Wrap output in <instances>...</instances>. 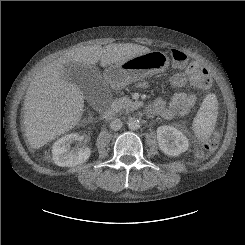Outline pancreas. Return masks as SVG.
<instances>
[{
	"label": "pancreas",
	"instance_id": "pancreas-1",
	"mask_svg": "<svg viewBox=\"0 0 245 245\" xmlns=\"http://www.w3.org/2000/svg\"><path fill=\"white\" fill-rule=\"evenodd\" d=\"M139 107L138 102L131 101L128 97H121L114 102V108L117 111L122 109L126 110L127 112L133 111Z\"/></svg>",
	"mask_w": 245,
	"mask_h": 245
}]
</instances>
